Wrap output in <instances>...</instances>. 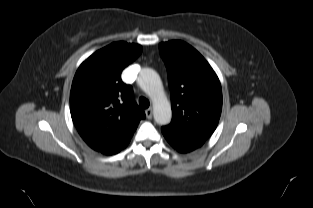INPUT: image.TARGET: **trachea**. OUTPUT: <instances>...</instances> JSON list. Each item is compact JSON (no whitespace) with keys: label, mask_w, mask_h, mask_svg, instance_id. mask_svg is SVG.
<instances>
[{"label":"trachea","mask_w":313,"mask_h":208,"mask_svg":"<svg viewBox=\"0 0 313 208\" xmlns=\"http://www.w3.org/2000/svg\"><path fill=\"white\" fill-rule=\"evenodd\" d=\"M149 104L150 103H149L148 99H146L145 97H140L139 98V105H140L141 108L146 109V108L149 107Z\"/></svg>","instance_id":"3493384b"}]
</instances>
